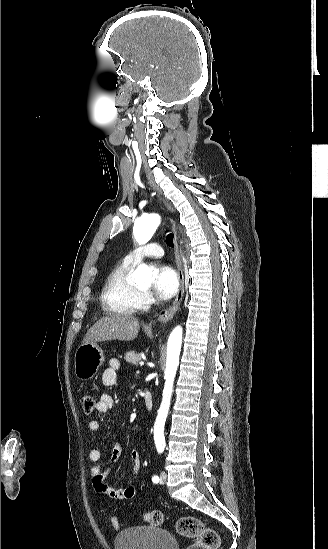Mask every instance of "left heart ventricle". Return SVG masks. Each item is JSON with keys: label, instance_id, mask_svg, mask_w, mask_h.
Segmentation results:
<instances>
[{"label": "left heart ventricle", "instance_id": "b2bd125f", "mask_svg": "<svg viewBox=\"0 0 328 549\" xmlns=\"http://www.w3.org/2000/svg\"><path fill=\"white\" fill-rule=\"evenodd\" d=\"M139 288H141L142 290H145V291L148 289L147 286H140Z\"/></svg>", "mask_w": 328, "mask_h": 549}]
</instances>
